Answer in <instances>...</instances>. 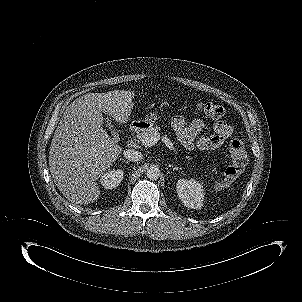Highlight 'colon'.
<instances>
[{"label":"colon","instance_id":"obj_1","mask_svg":"<svg viewBox=\"0 0 302 302\" xmlns=\"http://www.w3.org/2000/svg\"><path fill=\"white\" fill-rule=\"evenodd\" d=\"M197 109L200 113L212 118H220L225 114L224 107L214 103L200 102L197 104ZM229 151L233 164L225 171L226 182H230L235 179L246 164V152L244 145L240 140L231 141Z\"/></svg>","mask_w":302,"mask_h":302}]
</instances>
